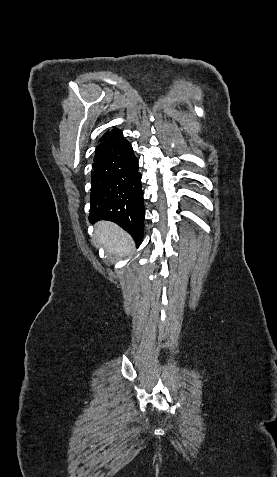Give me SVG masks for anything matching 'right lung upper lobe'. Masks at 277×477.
Returning <instances> with one entry per match:
<instances>
[{
    "label": "right lung upper lobe",
    "mask_w": 277,
    "mask_h": 477,
    "mask_svg": "<svg viewBox=\"0 0 277 477\" xmlns=\"http://www.w3.org/2000/svg\"><path fill=\"white\" fill-rule=\"evenodd\" d=\"M115 131H116V129H114V130L111 131V132L107 131V132L102 136V138L99 140V142L102 141V140H104L105 138H107L109 135H111V134H112L113 132H115Z\"/></svg>",
    "instance_id": "obj_1"
}]
</instances>
